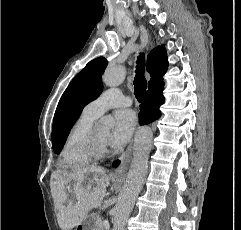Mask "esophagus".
Wrapping results in <instances>:
<instances>
[{
    "label": "esophagus",
    "instance_id": "esophagus-1",
    "mask_svg": "<svg viewBox=\"0 0 241 230\" xmlns=\"http://www.w3.org/2000/svg\"><path fill=\"white\" fill-rule=\"evenodd\" d=\"M132 150H133V142L130 143L126 151L121 155V158H120L121 163L116 169L117 175H121L127 170L128 164L131 158Z\"/></svg>",
    "mask_w": 241,
    "mask_h": 230
}]
</instances>
